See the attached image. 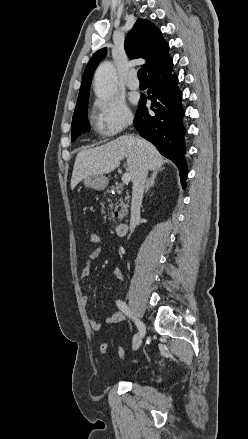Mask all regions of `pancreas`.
Listing matches in <instances>:
<instances>
[{
    "label": "pancreas",
    "instance_id": "pancreas-1",
    "mask_svg": "<svg viewBox=\"0 0 248 439\" xmlns=\"http://www.w3.org/2000/svg\"><path fill=\"white\" fill-rule=\"evenodd\" d=\"M111 189L119 192L120 190H123V184H117L116 186H112ZM128 200H129V195L125 196L124 199L120 198L117 203H119L120 206L125 207L126 205L124 201L128 202Z\"/></svg>",
    "mask_w": 248,
    "mask_h": 439
}]
</instances>
